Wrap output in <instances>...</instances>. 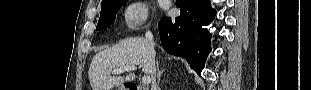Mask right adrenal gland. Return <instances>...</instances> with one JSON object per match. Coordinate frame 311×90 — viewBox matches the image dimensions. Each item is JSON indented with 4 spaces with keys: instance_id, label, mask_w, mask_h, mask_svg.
I'll return each instance as SVG.
<instances>
[{
    "instance_id": "2a0ac1e0",
    "label": "right adrenal gland",
    "mask_w": 311,
    "mask_h": 90,
    "mask_svg": "<svg viewBox=\"0 0 311 90\" xmlns=\"http://www.w3.org/2000/svg\"><path fill=\"white\" fill-rule=\"evenodd\" d=\"M157 72H158L157 78H158V82H159V81H160V77H161V75H162V73H163V70H162V71H159L158 63H157Z\"/></svg>"
}]
</instances>
